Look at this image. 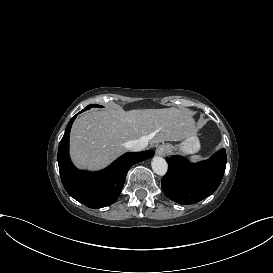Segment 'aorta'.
<instances>
[{
    "instance_id": "obj_1",
    "label": "aorta",
    "mask_w": 273,
    "mask_h": 273,
    "mask_svg": "<svg viewBox=\"0 0 273 273\" xmlns=\"http://www.w3.org/2000/svg\"><path fill=\"white\" fill-rule=\"evenodd\" d=\"M151 166L153 171L159 176H163L167 173L168 164L166 160L160 156L153 157Z\"/></svg>"
}]
</instances>
